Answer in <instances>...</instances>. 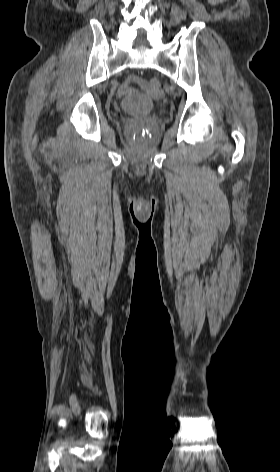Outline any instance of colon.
<instances>
[{
	"label": "colon",
	"mask_w": 280,
	"mask_h": 472,
	"mask_svg": "<svg viewBox=\"0 0 280 472\" xmlns=\"http://www.w3.org/2000/svg\"><path fill=\"white\" fill-rule=\"evenodd\" d=\"M148 89L153 93L160 92V85L156 79H151L147 82Z\"/></svg>",
	"instance_id": "colon-1"
}]
</instances>
